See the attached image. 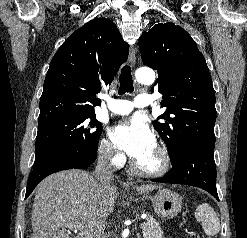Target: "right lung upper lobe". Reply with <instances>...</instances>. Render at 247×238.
I'll return each mask as SVG.
<instances>
[{
    "instance_id": "cb5924a9",
    "label": "right lung upper lobe",
    "mask_w": 247,
    "mask_h": 238,
    "mask_svg": "<svg viewBox=\"0 0 247 238\" xmlns=\"http://www.w3.org/2000/svg\"><path fill=\"white\" fill-rule=\"evenodd\" d=\"M129 45L109 19L95 18L57 50L45 77L39 122L95 114L102 84H110L127 60Z\"/></svg>"
}]
</instances>
